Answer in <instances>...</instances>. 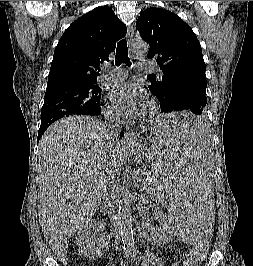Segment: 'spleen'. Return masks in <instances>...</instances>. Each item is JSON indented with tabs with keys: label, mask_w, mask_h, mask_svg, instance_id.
<instances>
[{
	"label": "spleen",
	"mask_w": 253,
	"mask_h": 266,
	"mask_svg": "<svg viewBox=\"0 0 253 266\" xmlns=\"http://www.w3.org/2000/svg\"><path fill=\"white\" fill-rule=\"evenodd\" d=\"M195 111H169L154 117L157 144L145 166V187L168 210L180 248H207L217 229L209 190L214 179L211 137Z\"/></svg>",
	"instance_id": "3e777b00"
}]
</instances>
